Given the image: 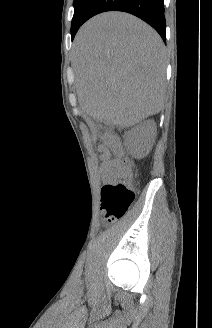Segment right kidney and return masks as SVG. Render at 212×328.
<instances>
[{"label":"right kidney","mask_w":212,"mask_h":328,"mask_svg":"<svg viewBox=\"0 0 212 328\" xmlns=\"http://www.w3.org/2000/svg\"><path fill=\"white\" fill-rule=\"evenodd\" d=\"M155 132L156 124L153 120H148L133 129L130 142L134 146V152H141L147 146L149 139Z\"/></svg>","instance_id":"ca27d5eb"}]
</instances>
